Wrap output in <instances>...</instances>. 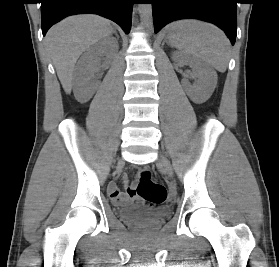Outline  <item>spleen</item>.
<instances>
[{
    "instance_id": "1",
    "label": "spleen",
    "mask_w": 279,
    "mask_h": 267,
    "mask_svg": "<svg viewBox=\"0 0 279 267\" xmlns=\"http://www.w3.org/2000/svg\"><path fill=\"white\" fill-rule=\"evenodd\" d=\"M168 39L172 47L220 72L226 71L230 43L216 26L193 19L176 21L169 27Z\"/></svg>"
}]
</instances>
